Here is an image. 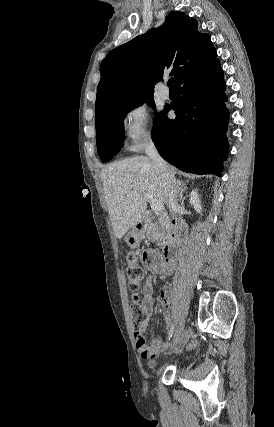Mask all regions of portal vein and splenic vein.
Instances as JSON below:
<instances>
[{
	"label": "portal vein and splenic vein",
	"instance_id": "18ae733b",
	"mask_svg": "<svg viewBox=\"0 0 274 427\" xmlns=\"http://www.w3.org/2000/svg\"><path fill=\"white\" fill-rule=\"evenodd\" d=\"M146 200H148L151 210H154V212H161L163 210V204L162 202H157V200H153L152 196L150 194H146L145 196Z\"/></svg>",
	"mask_w": 274,
	"mask_h": 427
}]
</instances>
